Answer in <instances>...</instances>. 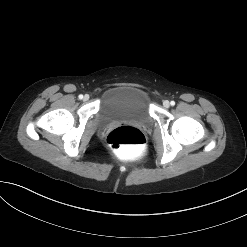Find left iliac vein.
<instances>
[{"mask_svg": "<svg viewBox=\"0 0 247 247\" xmlns=\"http://www.w3.org/2000/svg\"><path fill=\"white\" fill-rule=\"evenodd\" d=\"M163 106H164L165 108H169V106H170L169 101H168V100H165V101L163 102Z\"/></svg>", "mask_w": 247, "mask_h": 247, "instance_id": "obj_1", "label": "left iliac vein"}]
</instances>
